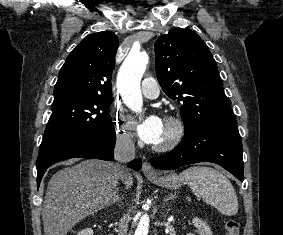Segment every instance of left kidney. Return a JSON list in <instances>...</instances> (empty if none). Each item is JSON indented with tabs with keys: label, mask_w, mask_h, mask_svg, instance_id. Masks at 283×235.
I'll return each instance as SVG.
<instances>
[{
	"label": "left kidney",
	"mask_w": 283,
	"mask_h": 235,
	"mask_svg": "<svg viewBox=\"0 0 283 235\" xmlns=\"http://www.w3.org/2000/svg\"><path fill=\"white\" fill-rule=\"evenodd\" d=\"M193 223L194 226L197 228L199 235H212V231L207 225V223L201 220L200 218L198 217L193 218ZM187 235H193V234H187Z\"/></svg>",
	"instance_id": "1"
}]
</instances>
